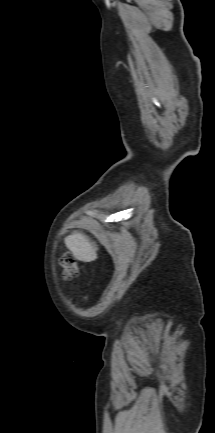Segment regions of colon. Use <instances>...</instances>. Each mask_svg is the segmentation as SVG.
<instances>
[{"instance_id": "obj_1", "label": "colon", "mask_w": 215, "mask_h": 433, "mask_svg": "<svg viewBox=\"0 0 215 433\" xmlns=\"http://www.w3.org/2000/svg\"><path fill=\"white\" fill-rule=\"evenodd\" d=\"M60 265L62 268V276L70 279L78 275L79 267L77 265L75 257L70 254H64L60 259Z\"/></svg>"}]
</instances>
